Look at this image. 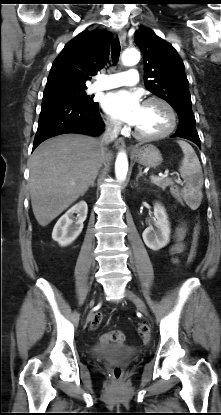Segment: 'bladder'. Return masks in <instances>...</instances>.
I'll return each mask as SVG.
<instances>
[{
    "label": "bladder",
    "mask_w": 221,
    "mask_h": 415,
    "mask_svg": "<svg viewBox=\"0 0 221 415\" xmlns=\"http://www.w3.org/2000/svg\"><path fill=\"white\" fill-rule=\"evenodd\" d=\"M137 350L127 345L108 344L95 347L92 350V356L102 360H112L126 362L137 355Z\"/></svg>",
    "instance_id": "31cf9c89"
}]
</instances>
